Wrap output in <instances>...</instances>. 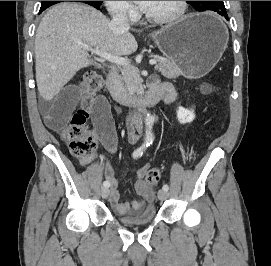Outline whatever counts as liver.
Here are the masks:
<instances>
[{
    "label": "liver",
    "mask_w": 271,
    "mask_h": 266,
    "mask_svg": "<svg viewBox=\"0 0 271 266\" xmlns=\"http://www.w3.org/2000/svg\"><path fill=\"white\" fill-rule=\"evenodd\" d=\"M83 45L114 56L138 48L132 34H115L109 19L92 6L55 5L41 20L35 37L36 81L45 101L53 99L80 69L96 64Z\"/></svg>",
    "instance_id": "liver-1"
}]
</instances>
